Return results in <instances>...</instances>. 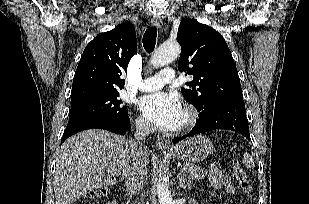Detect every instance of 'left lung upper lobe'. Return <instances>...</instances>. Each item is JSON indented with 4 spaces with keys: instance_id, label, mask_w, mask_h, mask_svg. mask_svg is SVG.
Returning <instances> with one entry per match:
<instances>
[{
    "instance_id": "1",
    "label": "left lung upper lobe",
    "mask_w": 309,
    "mask_h": 204,
    "mask_svg": "<svg viewBox=\"0 0 309 204\" xmlns=\"http://www.w3.org/2000/svg\"><path fill=\"white\" fill-rule=\"evenodd\" d=\"M177 41L182 49L178 69L194 76L181 92L199 112L218 102L242 100L238 72L220 33L195 19H185Z\"/></svg>"
}]
</instances>
